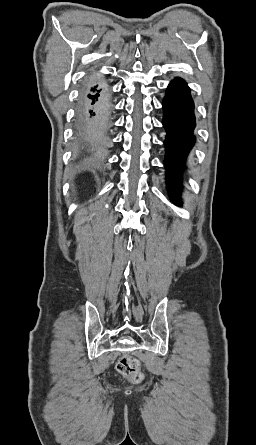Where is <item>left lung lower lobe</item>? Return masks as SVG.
Here are the masks:
<instances>
[{
    "instance_id": "left-lung-lower-lobe-1",
    "label": "left lung lower lobe",
    "mask_w": 256,
    "mask_h": 445,
    "mask_svg": "<svg viewBox=\"0 0 256 445\" xmlns=\"http://www.w3.org/2000/svg\"><path fill=\"white\" fill-rule=\"evenodd\" d=\"M162 107L163 125L167 132L165 140L167 188L172 201L179 204L182 188L181 172L187 154L195 142L194 103L189 87L181 78L174 79L168 85Z\"/></svg>"
}]
</instances>
